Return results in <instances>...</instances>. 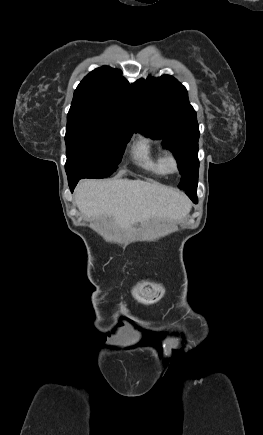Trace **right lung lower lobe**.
<instances>
[{
  "label": "right lung lower lobe",
  "instance_id": "1",
  "mask_svg": "<svg viewBox=\"0 0 263 435\" xmlns=\"http://www.w3.org/2000/svg\"><path fill=\"white\" fill-rule=\"evenodd\" d=\"M79 180L80 179L68 180L71 192H73V190H74V188H75V186H76V184L78 183Z\"/></svg>",
  "mask_w": 263,
  "mask_h": 435
}]
</instances>
